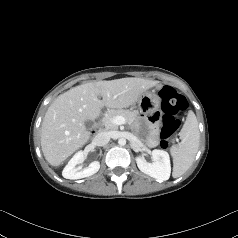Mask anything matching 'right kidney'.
<instances>
[{
	"mask_svg": "<svg viewBox=\"0 0 238 238\" xmlns=\"http://www.w3.org/2000/svg\"><path fill=\"white\" fill-rule=\"evenodd\" d=\"M84 161V152H77L68 164L65 166L62 175L66 179H81L85 177H89L96 172H98L100 168V163L98 161L92 162L87 168L82 169L81 166L76 167L77 164L83 163Z\"/></svg>",
	"mask_w": 238,
	"mask_h": 238,
	"instance_id": "ca27d5eb",
	"label": "right kidney"
}]
</instances>
